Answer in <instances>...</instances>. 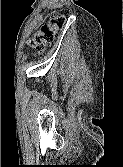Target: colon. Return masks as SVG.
Here are the masks:
<instances>
[{
    "instance_id": "obj_1",
    "label": "colon",
    "mask_w": 123,
    "mask_h": 167,
    "mask_svg": "<svg viewBox=\"0 0 123 167\" xmlns=\"http://www.w3.org/2000/svg\"><path fill=\"white\" fill-rule=\"evenodd\" d=\"M65 25V18L61 14H54L49 21L42 25L38 32L31 38L30 44L39 52H43L45 47L52 44L59 30Z\"/></svg>"
}]
</instances>
